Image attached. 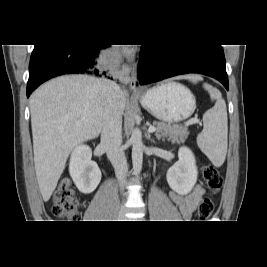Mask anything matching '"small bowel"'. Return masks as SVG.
Returning a JSON list of instances; mask_svg holds the SVG:
<instances>
[{
	"mask_svg": "<svg viewBox=\"0 0 267 267\" xmlns=\"http://www.w3.org/2000/svg\"><path fill=\"white\" fill-rule=\"evenodd\" d=\"M203 194L204 189L200 185H197L189 194L186 195H182L177 192H171L170 198L179 208L182 217L185 220H189L193 212L196 210Z\"/></svg>",
	"mask_w": 267,
	"mask_h": 267,
	"instance_id": "1",
	"label": "small bowel"
}]
</instances>
